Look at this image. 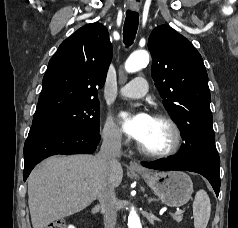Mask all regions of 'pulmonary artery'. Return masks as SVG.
Listing matches in <instances>:
<instances>
[{"instance_id":"e3ab8cb5","label":"pulmonary artery","mask_w":238,"mask_h":228,"mask_svg":"<svg viewBox=\"0 0 238 228\" xmlns=\"http://www.w3.org/2000/svg\"><path fill=\"white\" fill-rule=\"evenodd\" d=\"M147 93V80L136 77L119 89V94L127 98H141Z\"/></svg>"}]
</instances>
